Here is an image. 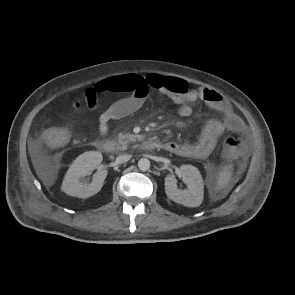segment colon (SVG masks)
Instances as JSON below:
<instances>
[{
  "label": "colon",
  "mask_w": 295,
  "mask_h": 295,
  "mask_svg": "<svg viewBox=\"0 0 295 295\" xmlns=\"http://www.w3.org/2000/svg\"><path fill=\"white\" fill-rule=\"evenodd\" d=\"M89 107H95L97 104V93L94 90L85 92L83 99ZM80 100H75L73 106L80 107ZM45 142L52 147H61L68 141V133L60 128H50L43 133ZM224 156L228 159L245 160V149L242 141L237 137H228L223 145Z\"/></svg>",
  "instance_id": "colon-1"
}]
</instances>
